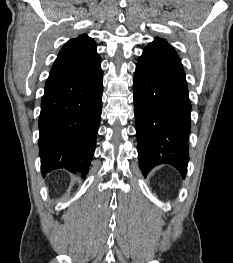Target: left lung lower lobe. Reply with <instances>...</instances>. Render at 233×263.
<instances>
[{"instance_id":"obj_1","label":"left lung lower lobe","mask_w":233,"mask_h":263,"mask_svg":"<svg viewBox=\"0 0 233 263\" xmlns=\"http://www.w3.org/2000/svg\"><path fill=\"white\" fill-rule=\"evenodd\" d=\"M134 107L142 173L168 163L185 178L191 129L187 82L175 49L156 38L138 59Z\"/></svg>"}]
</instances>
